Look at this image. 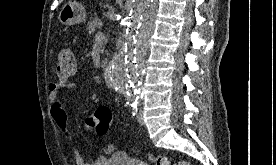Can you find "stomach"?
<instances>
[{"instance_id": "1", "label": "stomach", "mask_w": 276, "mask_h": 165, "mask_svg": "<svg viewBox=\"0 0 276 165\" xmlns=\"http://www.w3.org/2000/svg\"><path fill=\"white\" fill-rule=\"evenodd\" d=\"M85 18V8L75 1L65 4L59 13V21L66 26L79 24L85 21Z\"/></svg>"}]
</instances>
